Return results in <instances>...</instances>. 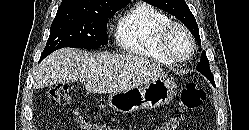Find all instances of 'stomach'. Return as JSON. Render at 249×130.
<instances>
[{
    "label": "stomach",
    "mask_w": 249,
    "mask_h": 130,
    "mask_svg": "<svg viewBox=\"0 0 249 130\" xmlns=\"http://www.w3.org/2000/svg\"><path fill=\"white\" fill-rule=\"evenodd\" d=\"M176 84L160 78L150 81L142 87L109 95L108 104L121 113H132L144 108H156L168 104L176 95Z\"/></svg>",
    "instance_id": "obj_1"
}]
</instances>
